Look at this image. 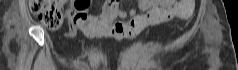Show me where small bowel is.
<instances>
[{"instance_id":"1","label":"small bowel","mask_w":238,"mask_h":70,"mask_svg":"<svg viewBox=\"0 0 238 70\" xmlns=\"http://www.w3.org/2000/svg\"><path fill=\"white\" fill-rule=\"evenodd\" d=\"M178 3L179 1L175 0H139L138 10L142 13H138L136 9L128 12L120 10L117 2H107L100 15H89L87 10L91 1L78 0V3L67 9L70 16V29L66 37L73 38L77 34H83L90 39L113 36L120 40L138 34L148 26L170 20ZM68 4L69 1L61 0L62 6ZM128 16L130 17L128 23L118 22L113 26L117 18L125 19Z\"/></svg>"}]
</instances>
